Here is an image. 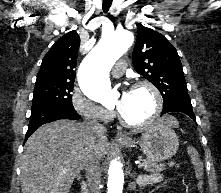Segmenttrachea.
Here are the masks:
<instances>
[{"label": "trachea", "instance_id": "obj_1", "mask_svg": "<svg viewBox=\"0 0 221 193\" xmlns=\"http://www.w3.org/2000/svg\"><path fill=\"white\" fill-rule=\"evenodd\" d=\"M112 0H103L102 8L105 13H107L111 7Z\"/></svg>", "mask_w": 221, "mask_h": 193}]
</instances>
